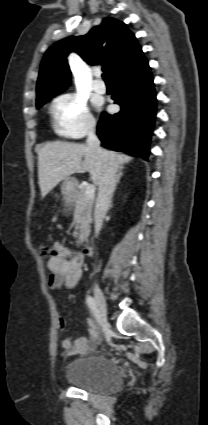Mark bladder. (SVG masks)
Masks as SVG:
<instances>
[{"label": "bladder", "instance_id": "1", "mask_svg": "<svg viewBox=\"0 0 208 425\" xmlns=\"http://www.w3.org/2000/svg\"><path fill=\"white\" fill-rule=\"evenodd\" d=\"M64 377L79 389L100 394L112 393L122 384V375L117 365L100 354L69 360Z\"/></svg>", "mask_w": 208, "mask_h": 425}]
</instances>
